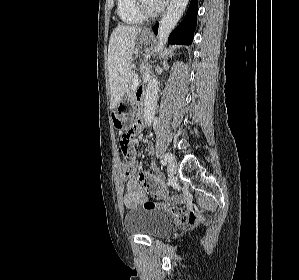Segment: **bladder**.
Wrapping results in <instances>:
<instances>
[{"label":"bladder","mask_w":299,"mask_h":280,"mask_svg":"<svg viewBox=\"0 0 299 280\" xmlns=\"http://www.w3.org/2000/svg\"><path fill=\"white\" fill-rule=\"evenodd\" d=\"M124 225L132 235L160 238L171 230L172 219L159 209H133L125 215Z\"/></svg>","instance_id":"bladder-1"}]
</instances>
